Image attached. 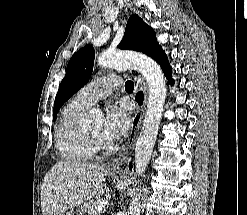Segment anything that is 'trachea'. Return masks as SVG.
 Masks as SVG:
<instances>
[{
	"label": "trachea",
	"mask_w": 247,
	"mask_h": 215,
	"mask_svg": "<svg viewBox=\"0 0 247 215\" xmlns=\"http://www.w3.org/2000/svg\"><path fill=\"white\" fill-rule=\"evenodd\" d=\"M125 90L130 91V92L133 91L134 90V83L130 80L126 81Z\"/></svg>",
	"instance_id": "3493384b"
}]
</instances>
